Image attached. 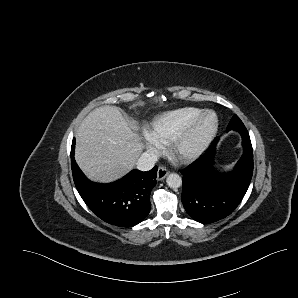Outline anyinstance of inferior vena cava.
Returning a JSON list of instances; mask_svg holds the SVG:
<instances>
[{
	"label": "inferior vena cava",
	"instance_id": "inferior-vena-cava-1",
	"mask_svg": "<svg viewBox=\"0 0 298 298\" xmlns=\"http://www.w3.org/2000/svg\"><path fill=\"white\" fill-rule=\"evenodd\" d=\"M158 161V156L152 151L141 154L136 162L137 169L140 171H150Z\"/></svg>",
	"mask_w": 298,
	"mask_h": 298
}]
</instances>
